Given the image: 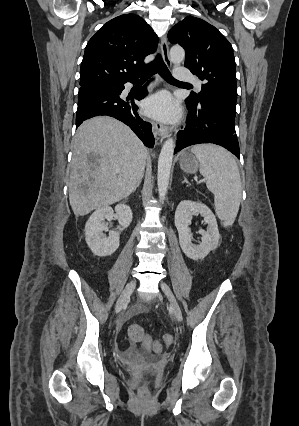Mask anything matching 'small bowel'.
Returning a JSON list of instances; mask_svg holds the SVG:
<instances>
[{"instance_id": "1", "label": "small bowel", "mask_w": 299, "mask_h": 426, "mask_svg": "<svg viewBox=\"0 0 299 426\" xmlns=\"http://www.w3.org/2000/svg\"><path fill=\"white\" fill-rule=\"evenodd\" d=\"M135 314L146 313L143 306H136L134 309ZM147 349L144 347L142 350L137 349L136 342L130 341L128 345L120 351L121 358L130 365H139L144 363L147 358Z\"/></svg>"}]
</instances>
